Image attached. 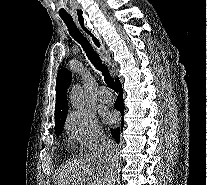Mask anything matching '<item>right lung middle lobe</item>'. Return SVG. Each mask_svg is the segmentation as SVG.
<instances>
[{
    "instance_id": "right-lung-middle-lobe-1",
    "label": "right lung middle lobe",
    "mask_w": 207,
    "mask_h": 185,
    "mask_svg": "<svg viewBox=\"0 0 207 185\" xmlns=\"http://www.w3.org/2000/svg\"><path fill=\"white\" fill-rule=\"evenodd\" d=\"M62 130H63V126L59 127V128H56L55 129L56 136H59L61 134Z\"/></svg>"
}]
</instances>
